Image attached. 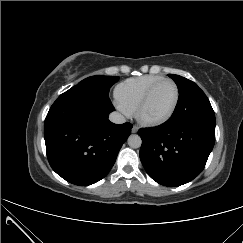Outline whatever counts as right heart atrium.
Instances as JSON below:
<instances>
[{
	"label": "right heart atrium",
	"mask_w": 243,
	"mask_h": 243,
	"mask_svg": "<svg viewBox=\"0 0 243 243\" xmlns=\"http://www.w3.org/2000/svg\"><path fill=\"white\" fill-rule=\"evenodd\" d=\"M118 108L125 114H128L119 104H118Z\"/></svg>",
	"instance_id": "right-heart-atrium-1"
}]
</instances>
